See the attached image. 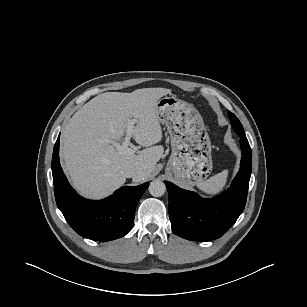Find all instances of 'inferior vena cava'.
<instances>
[{"label":"inferior vena cava","mask_w":307,"mask_h":307,"mask_svg":"<svg viewBox=\"0 0 307 307\" xmlns=\"http://www.w3.org/2000/svg\"><path fill=\"white\" fill-rule=\"evenodd\" d=\"M123 174L127 178H135L139 175V172L133 168H127L123 171Z\"/></svg>","instance_id":"1"}]
</instances>
